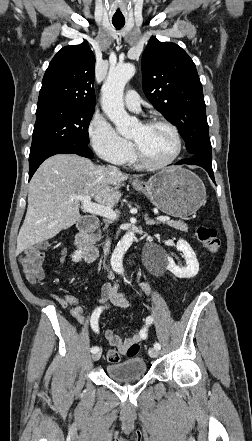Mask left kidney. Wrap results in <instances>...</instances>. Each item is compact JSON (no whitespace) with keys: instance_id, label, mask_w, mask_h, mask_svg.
Masks as SVG:
<instances>
[{"instance_id":"1","label":"left kidney","mask_w":252,"mask_h":441,"mask_svg":"<svg viewBox=\"0 0 252 441\" xmlns=\"http://www.w3.org/2000/svg\"><path fill=\"white\" fill-rule=\"evenodd\" d=\"M176 247L183 253L187 266L179 267L171 257H168L167 269L179 278H192L196 276L199 271V263L189 243L183 239H179Z\"/></svg>"}]
</instances>
